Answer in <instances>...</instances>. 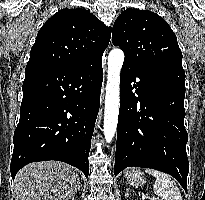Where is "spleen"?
Here are the masks:
<instances>
[{
	"instance_id": "3e777b00",
	"label": "spleen",
	"mask_w": 205,
	"mask_h": 200,
	"mask_svg": "<svg viewBox=\"0 0 205 200\" xmlns=\"http://www.w3.org/2000/svg\"><path fill=\"white\" fill-rule=\"evenodd\" d=\"M146 173L156 178L154 193L164 200H182L181 192L170 175L154 169H146Z\"/></svg>"
}]
</instances>
